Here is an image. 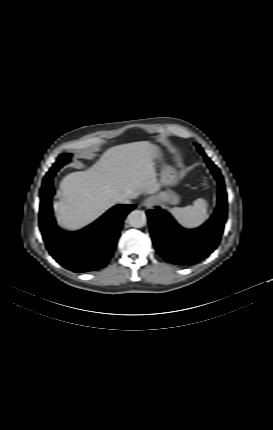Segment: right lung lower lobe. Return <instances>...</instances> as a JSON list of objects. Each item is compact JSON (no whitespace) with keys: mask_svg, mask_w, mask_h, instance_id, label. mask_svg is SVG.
<instances>
[{"mask_svg":"<svg viewBox=\"0 0 273 430\" xmlns=\"http://www.w3.org/2000/svg\"><path fill=\"white\" fill-rule=\"evenodd\" d=\"M55 175V174H54ZM53 174L43 180L40 191L39 226L51 256L73 272H89L105 267L113 256L125 216L135 205H117L96 222L77 232L56 226L51 207Z\"/></svg>","mask_w":273,"mask_h":430,"instance_id":"1","label":"right lung lower lobe"}]
</instances>
